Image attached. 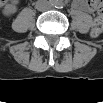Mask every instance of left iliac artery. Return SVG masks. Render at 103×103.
<instances>
[{
  "label": "left iliac artery",
  "instance_id": "1",
  "mask_svg": "<svg viewBox=\"0 0 103 103\" xmlns=\"http://www.w3.org/2000/svg\"><path fill=\"white\" fill-rule=\"evenodd\" d=\"M56 7L62 9L64 7V3L62 1H58Z\"/></svg>",
  "mask_w": 103,
  "mask_h": 103
}]
</instances>
